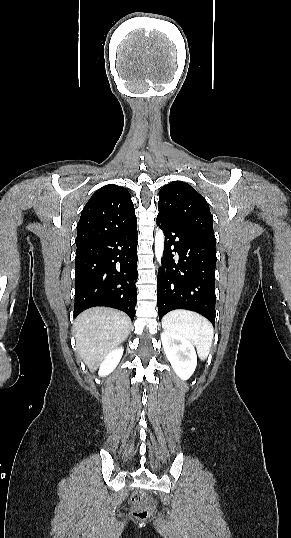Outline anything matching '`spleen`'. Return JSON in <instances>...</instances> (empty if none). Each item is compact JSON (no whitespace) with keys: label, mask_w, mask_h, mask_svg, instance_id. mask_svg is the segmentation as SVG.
Masks as SVG:
<instances>
[{"label":"spleen","mask_w":291,"mask_h":538,"mask_svg":"<svg viewBox=\"0 0 291 538\" xmlns=\"http://www.w3.org/2000/svg\"><path fill=\"white\" fill-rule=\"evenodd\" d=\"M162 327L189 339L196 346L199 357L202 360L207 358L213 343L214 330L206 318L188 310H172L163 317Z\"/></svg>","instance_id":"spleen-1"}]
</instances>
